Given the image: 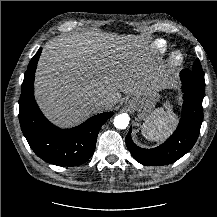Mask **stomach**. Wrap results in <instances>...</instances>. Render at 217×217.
<instances>
[{
  "instance_id": "obj_1",
  "label": "stomach",
  "mask_w": 217,
  "mask_h": 217,
  "mask_svg": "<svg viewBox=\"0 0 217 217\" xmlns=\"http://www.w3.org/2000/svg\"><path fill=\"white\" fill-rule=\"evenodd\" d=\"M159 95L156 91H146L141 95H136L128 100L130 107L137 112V116L141 120L148 119Z\"/></svg>"
}]
</instances>
